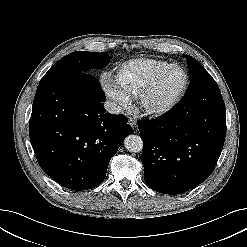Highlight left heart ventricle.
<instances>
[{
	"instance_id": "1",
	"label": "left heart ventricle",
	"mask_w": 247,
	"mask_h": 247,
	"mask_svg": "<svg viewBox=\"0 0 247 247\" xmlns=\"http://www.w3.org/2000/svg\"><path fill=\"white\" fill-rule=\"evenodd\" d=\"M184 74L179 68H172L159 79L155 89L148 98L151 106H160L170 101L181 89Z\"/></svg>"
}]
</instances>
